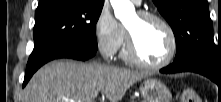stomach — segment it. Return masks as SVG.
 Returning a JSON list of instances; mask_svg holds the SVG:
<instances>
[{"label": "stomach", "mask_w": 221, "mask_h": 102, "mask_svg": "<svg viewBox=\"0 0 221 102\" xmlns=\"http://www.w3.org/2000/svg\"><path fill=\"white\" fill-rule=\"evenodd\" d=\"M145 102H171L172 94L168 87L157 79H146L140 85Z\"/></svg>", "instance_id": "stomach-1"}]
</instances>
